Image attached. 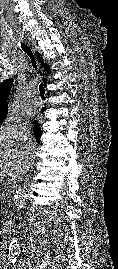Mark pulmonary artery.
Returning <instances> with one entry per match:
<instances>
[{
  "label": "pulmonary artery",
  "mask_w": 118,
  "mask_h": 269,
  "mask_svg": "<svg viewBox=\"0 0 118 269\" xmlns=\"http://www.w3.org/2000/svg\"><path fill=\"white\" fill-rule=\"evenodd\" d=\"M29 102H30L31 104H38V103H39V99L36 98V97H30V98H29Z\"/></svg>",
  "instance_id": "pulmonary-artery-1"
}]
</instances>
